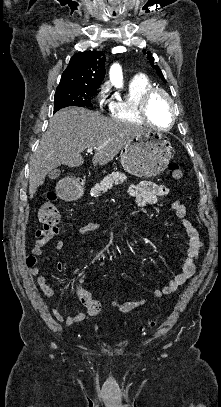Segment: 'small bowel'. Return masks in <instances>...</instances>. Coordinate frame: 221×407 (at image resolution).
I'll list each match as a JSON object with an SVG mask.
<instances>
[{
	"mask_svg": "<svg viewBox=\"0 0 221 407\" xmlns=\"http://www.w3.org/2000/svg\"><path fill=\"white\" fill-rule=\"evenodd\" d=\"M169 194V189L166 186L156 184L150 181L140 182L132 186L128 195L132 198L138 207H145L148 205H155L159 200ZM172 209L175 211L178 218L181 219L182 226L188 236V242L186 247V257L182 264L181 271L171 280H169L161 288L153 291L150 297L143 298L138 301L127 300L121 303L112 302V307L116 308L123 313H131L136 311L139 307L144 305L149 298H160L174 292L179 286L186 283L194 275L197 267V261L199 260L200 252L203 249V240L201 238L199 230L186 218L187 210L185 205L180 201H173L171 204ZM127 212L129 215L134 216L133 211L127 206ZM99 227L96 223H90L79 227L76 232V237L84 236L92 231L97 230ZM50 238L39 237L36 233V241L31 249V253L25 256V264L28 268V272L31 276L37 277V285L43 294L50 299H54L57 296V291L48 283L47 278L40 274V269L37 266L38 259L44 254V247ZM65 246L63 239H58L55 243V247L58 250H62ZM46 261L53 262L54 268L57 272L62 273L65 271V266L56 260L53 255L45 256ZM87 281V275L83 274L78 279V284L83 285ZM32 285V282H29ZM81 289V288H80ZM79 289V290H80ZM79 290L77 296L80 300ZM57 320L63 322L66 325H72L76 322H81L85 319L86 315L83 312H78L74 315L64 316L56 310L53 311Z\"/></svg>",
	"mask_w": 221,
	"mask_h": 407,
	"instance_id": "c3829d8e",
	"label": "small bowel"
}]
</instances>
